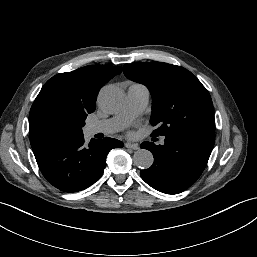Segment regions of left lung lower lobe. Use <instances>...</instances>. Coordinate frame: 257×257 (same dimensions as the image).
I'll return each instance as SVG.
<instances>
[{
    "instance_id": "1",
    "label": "left lung lower lobe",
    "mask_w": 257,
    "mask_h": 257,
    "mask_svg": "<svg viewBox=\"0 0 257 257\" xmlns=\"http://www.w3.org/2000/svg\"><path fill=\"white\" fill-rule=\"evenodd\" d=\"M215 142L214 130H188L166 136L164 145L143 142L140 147L150 150L153 165L141 170L142 179L154 189L177 194L189 188L200 177Z\"/></svg>"
}]
</instances>
